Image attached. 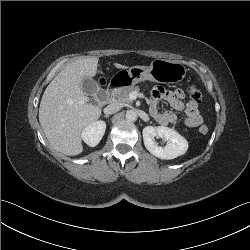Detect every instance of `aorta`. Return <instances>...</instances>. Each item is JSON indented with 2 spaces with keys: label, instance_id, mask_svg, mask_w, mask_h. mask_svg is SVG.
Segmentation results:
<instances>
[{
  "label": "aorta",
  "instance_id": "aorta-1",
  "mask_svg": "<svg viewBox=\"0 0 250 250\" xmlns=\"http://www.w3.org/2000/svg\"><path fill=\"white\" fill-rule=\"evenodd\" d=\"M126 119L128 121H136L137 120V113L134 110H128L126 112Z\"/></svg>",
  "mask_w": 250,
  "mask_h": 250
}]
</instances>
